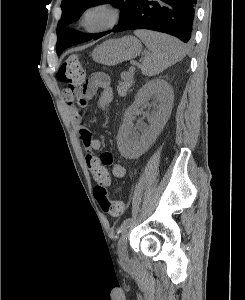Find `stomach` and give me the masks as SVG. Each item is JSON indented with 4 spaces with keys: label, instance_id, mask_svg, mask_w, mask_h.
Masks as SVG:
<instances>
[{
    "label": "stomach",
    "instance_id": "obj_1",
    "mask_svg": "<svg viewBox=\"0 0 245 300\" xmlns=\"http://www.w3.org/2000/svg\"><path fill=\"white\" fill-rule=\"evenodd\" d=\"M142 50L141 42L134 36L110 39L96 47L92 52L95 62L103 65H116L137 57Z\"/></svg>",
    "mask_w": 245,
    "mask_h": 300
}]
</instances>
